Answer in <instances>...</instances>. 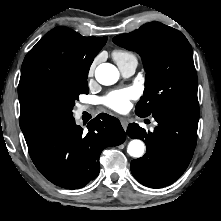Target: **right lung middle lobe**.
Instances as JSON below:
<instances>
[{"instance_id":"1","label":"right lung middle lobe","mask_w":221,"mask_h":221,"mask_svg":"<svg viewBox=\"0 0 221 221\" xmlns=\"http://www.w3.org/2000/svg\"><path fill=\"white\" fill-rule=\"evenodd\" d=\"M88 71L82 75H69L58 79L28 102L32 121L57 116H71L75 100L88 94Z\"/></svg>"}]
</instances>
